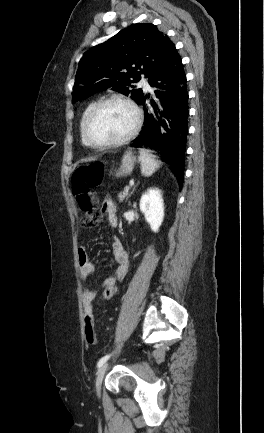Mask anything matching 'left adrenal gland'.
<instances>
[{
  "instance_id": "obj_1",
  "label": "left adrenal gland",
  "mask_w": 264,
  "mask_h": 433,
  "mask_svg": "<svg viewBox=\"0 0 264 433\" xmlns=\"http://www.w3.org/2000/svg\"><path fill=\"white\" fill-rule=\"evenodd\" d=\"M137 186H138V184H137L136 186H134V188H133L132 192H133V191L135 190V188H136ZM132 192H131V193H132ZM129 196H130V195H129Z\"/></svg>"
}]
</instances>
